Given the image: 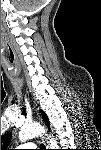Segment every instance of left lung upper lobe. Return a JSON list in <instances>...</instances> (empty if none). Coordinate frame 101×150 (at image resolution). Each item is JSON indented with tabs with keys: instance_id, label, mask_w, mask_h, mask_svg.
Instances as JSON below:
<instances>
[{
	"instance_id": "5c2ea615",
	"label": "left lung upper lobe",
	"mask_w": 101,
	"mask_h": 150,
	"mask_svg": "<svg viewBox=\"0 0 101 150\" xmlns=\"http://www.w3.org/2000/svg\"><path fill=\"white\" fill-rule=\"evenodd\" d=\"M41 113H42V117H43V119H44L46 125H47L48 127H50V124H49V120H48L47 115H46L43 111H41ZM11 137H12V133H10V132L5 133V134L1 137V148H2V150H5V148L9 145V143H10V141H11Z\"/></svg>"
}]
</instances>
